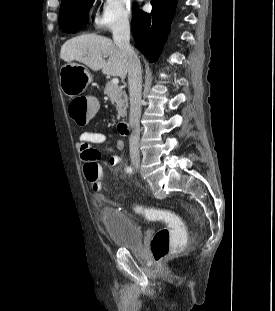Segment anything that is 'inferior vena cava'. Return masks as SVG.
I'll list each match as a JSON object with an SVG mask.
<instances>
[{"mask_svg": "<svg viewBox=\"0 0 275 311\" xmlns=\"http://www.w3.org/2000/svg\"><path fill=\"white\" fill-rule=\"evenodd\" d=\"M114 43L127 55L129 60L128 85L130 95L129 124L132 129L129 138L130 158L139 160L140 116L142 69L140 61L130 45V26L128 21L121 22L113 31Z\"/></svg>", "mask_w": 275, "mask_h": 311, "instance_id": "obj_1", "label": "inferior vena cava"}]
</instances>
